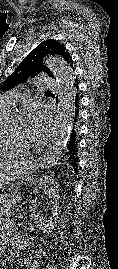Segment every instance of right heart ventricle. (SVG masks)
Listing matches in <instances>:
<instances>
[{
	"label": "right heart ventricle",
	"mask_w": 118,
	"mask_h": 269,
	"mask_svg": "<svg viewBox=\"0 0 118 269\" xmlns=\"http://www.w3.org/2000/svg\"><path fill=\"white\" fill-rule=\"evenodd\" d=\"M13 110L0 106V156L14 155L22 150V145L12 138L7 123L12 117Z\"/></svg>",
	"instance_id": "e07e8e85"
}]
</instances>
